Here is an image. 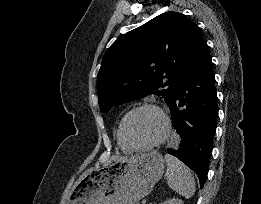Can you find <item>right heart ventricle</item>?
I'll return each mask as SVG.
<instances>
[{"label":"right heart ventricle","instance_id":"1","mask_svg":"<svg viewBox=\"0 0 261 204\" xmlns=\"http://www.w3.org/2000/svg\"><path fill=\"white\" fill-rule=\"evenodd\" d=\"M117 143H118V146L119 148L124 152V153H129L130 150L127 149L121 142H120V139L118 137V132H117Z\"/></svg>","mask_w":261,"mask_h":204}]
</instances>
